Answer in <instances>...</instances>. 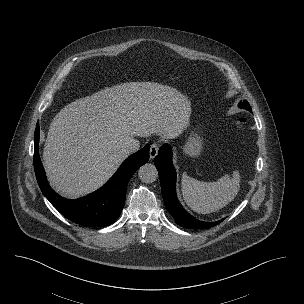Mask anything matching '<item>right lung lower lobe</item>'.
Wrapping results in <instances>:
<instances>
[{"instance_id":"98d812e1","label":"right lung lower lobe","mask_w":304,"mask_h":304,"mask_svg":"<svg viewBox=\"0 0 304 304\" xmlns=\"http://www.w3.org/2000/svg\"><path fill=\"white\" fill-rule=\"evenodd\" d=\"M39 123L34 135V169L42 193L69 220L87 227H103L120 216L126 197L127 184L139 167L149 159V145L127 158L117 172L99 190L77 200L59 196L49 186L38 153Z\"/></svg>"}]
</instances>
